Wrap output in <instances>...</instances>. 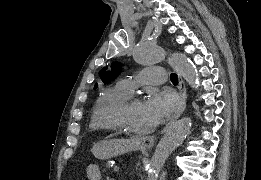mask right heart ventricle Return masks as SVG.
<instances>
[{"mask_svg": "<svg viewBox=\"0 0 261 180\" xmlns=\"http://www.w3.org/2000/svg\"><path fill=\"white\" fill-rule=\"evenodd\" d=\"M128 92L120 85L104 89L98 96L88 123L89 133H110V138H92L102 139L103 141L116 137L112 119V111L117 107Z\"/></svg>", "mask_w": 261, "mask_h": 180, "instance_id": "1", "label": "right heart ventricle"}]
</instances>
